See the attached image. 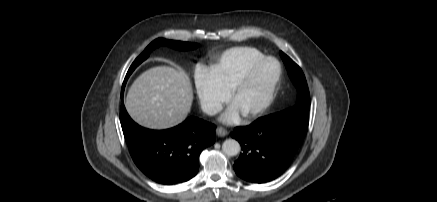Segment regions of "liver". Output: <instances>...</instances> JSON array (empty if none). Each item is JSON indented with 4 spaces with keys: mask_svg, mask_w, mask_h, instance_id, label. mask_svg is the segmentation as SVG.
I'll return each instance as SVG.
<instances>
[{
    "mask_svg": "<svg viewBox=\"0 0 437 202\" xmlns=\"http://www.w3.org/2000/svg\"><path fill=\"white\" fill-rule=\"evenodd\" d=\"M193 91L182 69L157 66L143 72L129 88L125 107L131 118L150 129H166L188 115Z\"/></svg>",
    "mask_w": 437,
    "mask_h": 202,
    "instance_id": "6515ba94",
    "label": "liver"
}]
</instances>
